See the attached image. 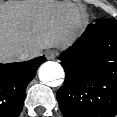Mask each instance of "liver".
<instances>
[{"label": "liver", "mask_w": 117, "mask_h": 117, "mask_svg": "<svg viewBox=\"0 0 117 117\" xmlns=\"http://www.w3.org/2000/svg\"><path fill=\"white\" fill-rule=\"evenodd\" d=\"M86 24L72 5L9 3L0 6V62L25 60L43 49L69 44ZM34 55L22 58L26 50Z\"/></svg>", "instance_id": "6515ba94"}]
</instances>
